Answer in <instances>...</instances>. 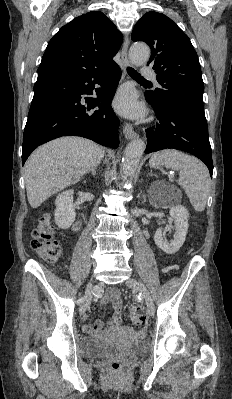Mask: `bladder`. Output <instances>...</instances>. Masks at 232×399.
<instances>
[{"instance_id":"31cf9c89","label":"bladder","mask_w":232,"mask_h":399,"mask_svg":"<svg viewBox=\"0 0 232 399\" xmlns=\"http://www.w3.org/2000/svg\"><path fill=\"white\" fill-rule=\"evenodd\" d=\"M146 348L144 342L133 347H122L94 337H84L79 343V353L81 356L90 359L112 355H140L146 352Z\"/></svg>"}]
</instances>
